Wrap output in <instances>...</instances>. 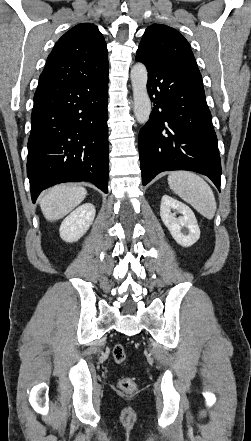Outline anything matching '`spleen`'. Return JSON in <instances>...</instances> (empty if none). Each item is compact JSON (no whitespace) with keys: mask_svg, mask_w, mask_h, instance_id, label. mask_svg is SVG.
I'll return each mask as SVG.
<instances>
[{"mask_svg":"<svg viewBox=\"0 0 251 441\" xmlns=\"http://www.w3.org/2000/svg\"><path fill=\"white\" fill-rule=\"evenodd\" d=\"M170 189L193 206L201 215L212 219L217 204L210 186L200 176L189 171H175L169 174Z\"/></svg>","mask_w":251,"mask_h":441,"instance_id":"1","label":"spleen"}]
</instances>
